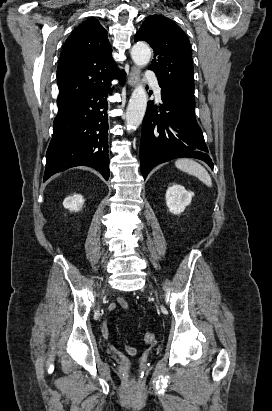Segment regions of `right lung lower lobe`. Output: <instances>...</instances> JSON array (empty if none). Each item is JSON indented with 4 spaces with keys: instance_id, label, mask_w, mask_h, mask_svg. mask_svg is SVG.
<instances>
[{
    "instance_id": "1",
    "label": "right lung lower lobe",
    "mask_w": 272,
    "mask_h": 411,
    "mask_svg": "<svg viewBox=\"0 0 272 411\" xmlns=\"http://www.w3.org/2000/svg\"><path fill=\"white\" fill-rule=\"evenodd\" d=\"M125 81V72L113 78ZM112 78V79H113ZM112 79L62 105L54 119V132L46 154L44 181L74 166H90L108 180L107 97Z\"/></svg>"
}]
</instances>
